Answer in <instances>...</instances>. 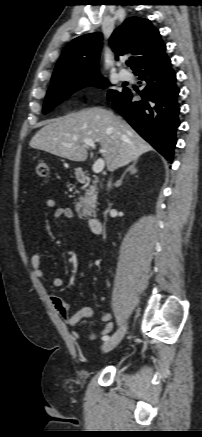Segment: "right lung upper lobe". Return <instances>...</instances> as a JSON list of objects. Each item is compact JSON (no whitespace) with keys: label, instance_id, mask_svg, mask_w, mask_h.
<instances>
[{"label":"right lung upper lobe","instance_id":"cb5924a9","mask_svg":"<svg viewBox=\"0 0 202 437\" xmlns=\"http://www.w3.org/2000/svg\"><path fill=\"white\" fill-rule=\"evenodd\" d=\"M116 57L132 53V69L152 64L166 53L159 31L148 19L131 17L114 30L109 39ZM102 49V34L91 33L72 40L63 50L54 69L51 82L66 81L72 78L99 75L98 61Z\"/></svg>","mask_w":202,"mask_h":437}]
</instances>
